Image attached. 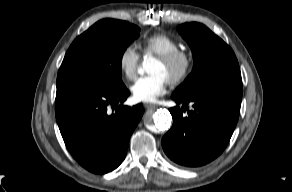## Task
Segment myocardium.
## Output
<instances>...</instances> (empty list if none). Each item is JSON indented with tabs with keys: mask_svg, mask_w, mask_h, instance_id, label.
<instances>
[{
	"mask_svg": "<svg viewBox=\"0 0 292 192\" xmlns=\"http://www.w3.org/2000/svg\"><path fill=\"white\" fill-rule=\"evenodd\" d=\"M161 62L173 69L168 82L171 85L183 83L191 74L194 66V57L187 50H175L157 57Z\"/></svg>",
	"mask_w": 292,
	"mask_h": 192,
	"instance_id": "1",
	"label": "myocardium"
}]
</instances>
